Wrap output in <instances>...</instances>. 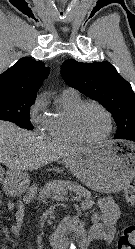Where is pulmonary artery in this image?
<instances>
[{
	"instance_id": "e3ab8cb5",
	"label": "pulmonary artery",
	"mask_w": 135,
	"mask_h": 249,
	"mask_svg": "<svg viewBox=\"0 0 135 249\" xmlns=\"http://www.w3.org/2000/svg\"><path fill=\"white\" fill-rule=\"evenodd\" d=\"M64 92L77 93V91L74 89H67Z\"/></svg>"
}]
</instances>
